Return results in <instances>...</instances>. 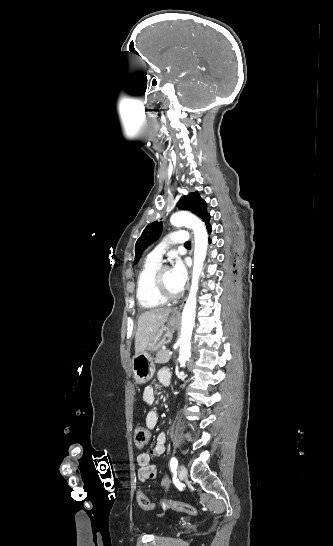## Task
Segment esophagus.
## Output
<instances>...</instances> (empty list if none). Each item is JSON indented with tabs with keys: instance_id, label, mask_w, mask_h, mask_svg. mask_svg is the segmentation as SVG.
I'll use <instances>...</instances> for the list:
<instances>
[{
	"instance_id": "34e87169",
	"label": "esophagus",
	"mask_w": 333,
	"mask_h": 546,
	"mask_svg": "<svg viewBox=\"0 0 333 546\" xmlns=\"http://www.w3.org/2000/svg\"><path fill=\"white\" fill-rule=\"evenodd\" d=\"M181 308H182V305L177 310H175L174 315H180Z\"/></svg>"
}]
</instances>
